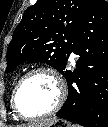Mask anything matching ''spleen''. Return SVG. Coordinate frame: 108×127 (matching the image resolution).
<instances>
[{
    "label": "spleen",
    "mask_w": 108,
    "mask_h": 127,
    "mask_svg": "<svg viewBox=\"0 0 108 127\" xmlns=\"http://www.w3.org/2000/svg\"><path fill=\"white\" fill-rule=\"evenodd\" d=\"M72 127H82V126L79 124H73Z\"/></svg>",
    "instance_id": "obj_1"
}]
</instances>
